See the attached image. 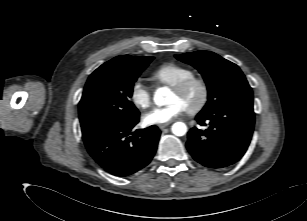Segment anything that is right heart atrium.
Returning <instances> with one entry per match:
<instances>
[{
  "mask_svg": "<svg viewBox=\"0 0 307 221\" xmlns=\"http://www.w3.org/2000/svg\"><path fill=\"white\" fill-rule=\"evenodd\" d=\"M151 90L142 81H135L130 88V100L139 109H145L151 104Z\"/></svg>",
  "mask_w": 307,
  "mask_h": 221,
  "instance_id": "1",
  "label": "right heart atrium"
}]
</instances>
